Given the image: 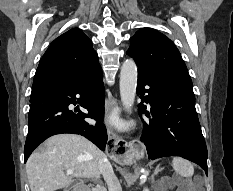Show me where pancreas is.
<instances>
[{"label":"pancreas","mask_w":233,"mask_h":191,"mask_svg":"<svg viewBox=\"0 0 233 191\" xmlns=\"http://www.w3.org/2000/svg\"><path fill=\"white\" fill-rule=\"evenodd\" d=\"M93 191H105V190H103L102 188H96Z\"/></svg>","instance_id":"pancreas-1"}]
</instances>
